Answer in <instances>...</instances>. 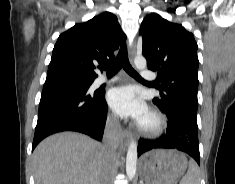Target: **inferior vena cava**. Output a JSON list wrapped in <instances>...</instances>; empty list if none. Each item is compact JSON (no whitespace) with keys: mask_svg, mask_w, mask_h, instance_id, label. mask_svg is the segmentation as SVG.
Segmentation results:
<instances>
[{"mask_svg":"<svg viewBox=\"0 0 235 184\" xmlns=\"http://www.w3.org/2000/svg\"><path fill=\"white\" fill-rule=\"evenodd\" d=\"M120 142V124L117 118H111L106 122L103 146L108 154H115Z\"/></svg>","mask_w":235,"mask_h":184,"instance_id":"1","label":"inferior vena cava"}]
</instances>
